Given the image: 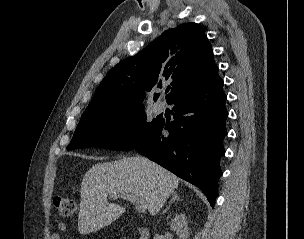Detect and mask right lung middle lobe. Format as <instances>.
Returning <instances> with one entry per match:
<instances>
[{"instance_id": "right-lung-middle-lobe-1", "label": "right lung middle lobe", "mask_w": 304, "mask_h": 239, "mask_svg": "<svg viewBox=\"0 0 304 239\" xmlns=\"http://www.w3.org/2000/svg\"><path fill=\"white\" fill-rule=\"evenodd\" d=\"M141 105H120L81 118L67 150L96 146L128 151L148 138L160 119L146 121Z\"/></svg>"}]
</instances>
